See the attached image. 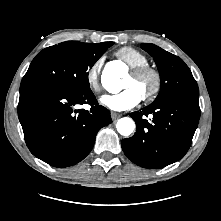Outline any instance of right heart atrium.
Segmentation results:
<instances>
[{"mask_svg":"<svg viewBox=\"0 0 221 221\" xmlns=\"http://www.w3.org/2000/svg\"><path fill=\"white\" fill-rule=\"evenodd\" d=\"M104 57H98L86 70L85 77L88 86L95 92L100 91L99 77Z\"/></svg>","mask_w":221,"mask_h":221,"instance_id":"obj_1","label":"right heart atrium"}]
</instances>
